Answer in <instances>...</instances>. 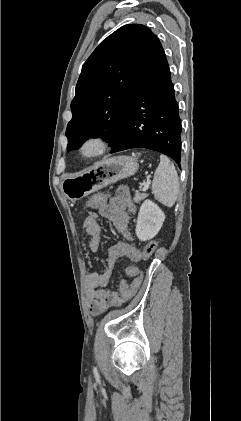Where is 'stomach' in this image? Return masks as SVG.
Masks as SVG:
<instances>
[{"instance_id": "stomach-1", "label": "stomach", "mask_w": 241, "mask_h": 421, "mask_svg": "<svg viewBox=\"0 0 241 421\" xmlns=\"http://www.w3.org/2000/svg\"><path fill=\"white\" fill-rule=\"evenodd\" d=\"M138 168L137 160L130 156L107 158L79 175L65 177L61 190L67 199L74 202L108 184L135 174Z\"/></svg>"}]
</instances>
